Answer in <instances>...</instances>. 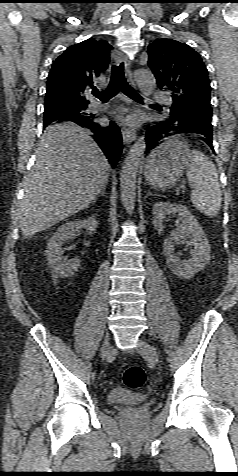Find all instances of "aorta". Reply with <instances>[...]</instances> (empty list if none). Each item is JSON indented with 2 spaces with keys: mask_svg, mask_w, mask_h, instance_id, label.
<instances>
[{
  "mask_svg": "<svg viewBox=\"0 0 238 476\" xmlns=\"http://www.w3.org/2000/svg\"><path fill=\"white\" fill-rule=\"evenodd\" d=\"M136 83L145 97L150 96L155 87L156 79L151 71L138 70L135 72ZM146 149L145 137L141 136L128 152L120 177L121 201L127 213L131 214L136 201V177L139 166L143 162Z\"/></svg>",
  "mask_w": 238,
  "mask_h": 476,
  "instance_id": "obj_1",
  "label": "aorta"
}]
</instances>
